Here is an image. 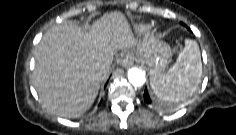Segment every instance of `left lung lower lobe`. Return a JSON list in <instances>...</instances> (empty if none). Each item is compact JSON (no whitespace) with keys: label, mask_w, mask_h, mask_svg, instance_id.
I'll return each instance as SVG.
<instances>
[{"label":"left lung lower lobe","mask_w":236,"mask_h":135,"mask_svg":"<svg viewBox=\"0 0 236 135\" xmlns=\"http://www.w3.org/2000/svg\"><path fill=\"white\" fill-rule=\"evenodd\" d=\"M144 101L148 104H151V102H152V100L147 92V89H145V91H144Z\"/></svg>","instance_id":"left-lung-lower-lobe-1"}]
</instances>
